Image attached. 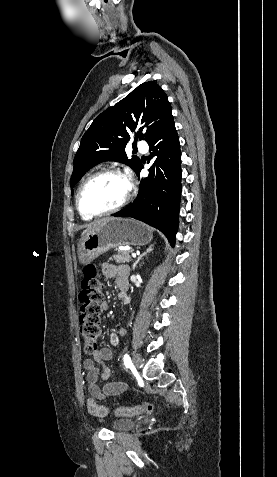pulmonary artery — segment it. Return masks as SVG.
Segmentation results:
<instances>
[{
    "label": "pulmonary artery",
    "mask_w": 277,
    "mask_h": 477,
    "mask_svg": "<svg viewBox=\"0 0 277 477\" xmlns=\"http://www.w3.org/2000/svg\"><path fill=\"white\" fill-rule=\"evenodd\" d=\"M138 148H139V150H140L141 152L145 153V152L148 151V144H147L146 142H144V141H140V142L138 143Z\"/></svg>",
    "instance_id": "pulmonary-artery-1"
}]
</instances>
